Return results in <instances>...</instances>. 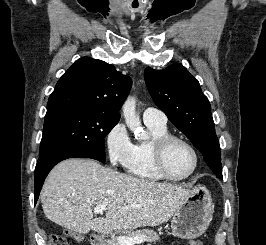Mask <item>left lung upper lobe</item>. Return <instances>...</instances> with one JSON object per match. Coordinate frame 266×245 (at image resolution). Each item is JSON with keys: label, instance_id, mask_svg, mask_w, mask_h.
Returning a JSON list of instances; mask_svg holds the SVG:
<instances>
[{"label": "left lung upper lobe", "instance_id": "5c2ea615", "mask_svg": "<svg viewBox=\"0 0 266 245\" xmlns=\"http://www.w3.org/2000/svg\"><path fill=\"white\" fill-rule=\"evenodd\" d=\"M144 78L156 105L202 153L212 171L222 178L221 151L211 107L199 82L181 64L164 70L147 67Z\"/></svg>", "mask_w": 266, "mask_h": 245}]
</instances>
